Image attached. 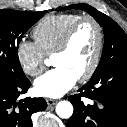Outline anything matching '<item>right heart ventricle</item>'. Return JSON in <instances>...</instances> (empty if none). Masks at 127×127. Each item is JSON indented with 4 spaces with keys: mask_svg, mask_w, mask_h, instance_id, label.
I'll use <instances>...</instances> for the list:
<instances>
[{
    "mask_svg": "<svg viewBox=\"0 0 127 127\" xmlns=\"http://www.w3.org/2000/svg\"><path fill=\"white\" fill-rule=\"evenodd\" d=\"M81 16L78 14H57L44 17L33 29L36 44L45 56L53 54L67 30Z\"/></svg>",
    "mask_w": 127,
    "mask_h": 127,
    "instance_id": "right-heart-ventricle-1",
    "label": "right heart ventricle"
}]
</instances>
